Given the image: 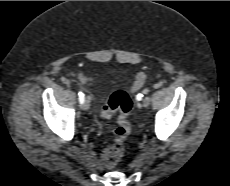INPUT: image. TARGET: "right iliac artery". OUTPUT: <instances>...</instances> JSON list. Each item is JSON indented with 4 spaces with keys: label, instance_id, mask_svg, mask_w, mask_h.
Listing matches in <instances>:
<instances>
[{
    "label": "right iliac artery",
    "instance_id": "right-iliac-artery-1",
    "mask_svg": "<svg viewBox=\"0 0 230 186\" xmlns=\"http://www.w3.org/2000/svg\"><path fill=\"white\" fill-rule=\"evenodd\" d=\"M79 101H80V103H83V101H84V94L82 91L79 92Z\"/></svg>",
    "mask_w": 230,
    "mask_h": 186
}]
</instances>
